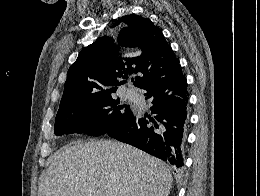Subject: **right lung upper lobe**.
<instances>
[{"instance_id":"obj_1","label":"right lung upper lobe","mask_w":260,"mask_h":196,"mask_svg":"<svg viewBox=\"0 0 260 196\" xmlns=\"http://www.w3.org/2000/svg\"><path fill=\"white\" fill-rule=\"evenodd\" d=\"M116 26L114 40L104 36L81 50L68 70L59 110L94 94L115 93L121 79L133 74L139 73L134 85L143 89L179 71V60L150 19L125 15Z\"/></svg>"}]
</instances>
